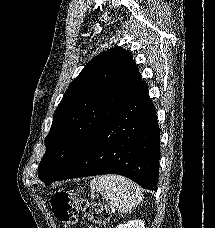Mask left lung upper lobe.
Returning a JSON list of instances; mask_svg holds the SVG:
<instances>
[{"label":"left lung upper lobe","mask_w":215,"mask_h":228,"mask_svg":"<svg viewBox=\"0 0 215 228\" xmlns=\"http://www.w3.org/2000/svg\"><path fill=\"white\" fill-rule=\"evenodd\" d=\"M140 83L131 54L121 47L87 63L54 112L39 179L45 183L64 172Z\"/></svg>","instance_id":"1"}]
</instances>
